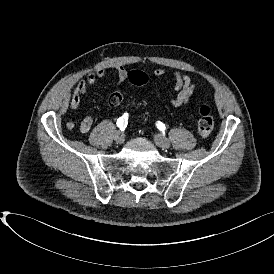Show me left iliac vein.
<instances>
[{"label": "left iliac vein", "instance_id": "obj_1", "mask_svg": "<svg viewBox=\"0 0 274 274\" xmlns=\"http://www.w3.org/2000/svg\"><path fill=\"white\" fill-rule=\"evenodd\" d=\"M154 141L156 143V145H158L159 147L163 148V149H168L170 147V141L163 137L161 134H156L154 136Z\"/></svg>", "mask_w": 274, "mask_h": 274}]
</instances>
